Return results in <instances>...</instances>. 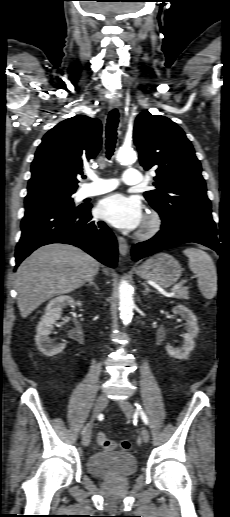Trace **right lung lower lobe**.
<instances>
[{"instance_id":"98d812e1","label":"right lung lower lobe","mask_w":230,"mask_h":517,"mask_svg":"<svg viewBox=\"0 0 230 517\" xmlns=\"http://www.w3.org/2000/svg\"><path fill=\"white\" fill-rule=\"evenodd\" d=\"M91 206L67 209L55 206L28 207L21 222L22 235L16 246L17 267L30 253L50 243L80 247L101 263L116 267L117 242L102 221L92 219Z\"/></svg>"}]
</instances>
